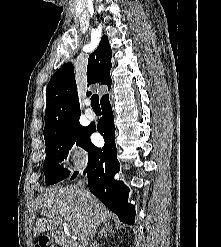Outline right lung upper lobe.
Instances as JSON below:
<instances>
[{
  "instance_id": "1",
  "label": "right lung upper lobe",
  "mask_w": 221,
  "mask_h": 247,
  "mask_svg": "<svg viewBox=\"0 0 221 247\" xmlns=\"http://www.w3.org/2000/svg\"><path fill=\"white\" fill-rule=\"evenodd\" d=\"M112 51L108 37L101 38L98 48L89 56L87 66V81L89 84L101 82L110 89L112 80L111 69ZM87 93V95H89ZM104 95L100 103L108 98ZM80 106L77 86L72 63L63 65L50 79L46 89V112L44 138L62 131L69 125L79 122Z\"/></svg>"
}]
</instances>
